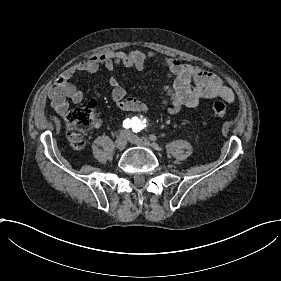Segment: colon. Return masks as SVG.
Listing matches in <instances>:
<instances>
[{
  "mask_svg": "<svg viewBox=\"0 0 281 281\" xmlns=\"http://www.w3.org/2000/svg\"><path fill=\"white\" fill-rule=\"evenodd\" d=\"M208 112L216 118H223L228 113V106L224 102L214 101L208 105ZM66 120L70 128L71 144L76 148L83 147L87 140V118L82 113L73 111Z\"/></svg>",
  "mask_w": 281,
  "mask_h": 281,
  "instance_id": "colon-1",
  "label": "colon"
}]
</instances>
